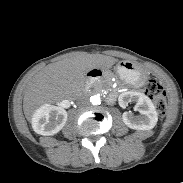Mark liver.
<instances>
[{
  "instance_id": "liver-1",
  "label": "liver",
  "mask_w": 183,
  "mask_h": 183,
  "mask_svg": "<svg viewBox=\"0 0 183 183\" xmlns=\"http://www.w3.org/2000/svg\"><path fill=\"white\" fill-rule=\"evenodd\" d=\"M117 60L101 54H77L47 65L35 74L24 91L23 109L28 120L44 104L56 103L83 87L87 72L107 69Z\"/></svg>"
}]
</instances>
